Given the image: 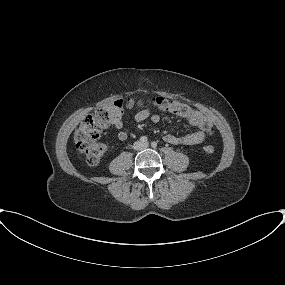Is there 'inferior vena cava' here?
<instances>
[{
	"label": "inferior vena cava",
	"instance_id": "obj_1",
	"mask_svg": "<svg viewBox=\"0 0 285 285\" xmlns=\"http://www.w3.org/2000/svg\"><path fill=\"white\" fill-rule=\"evenodd\" d=\"M147 146H148L147 143L138 141V142H136V143L134 144V149H135V150H143V149H145Z\"/></svg>",
	"mask_w": 285,
	"mask_h": 285
}]
</instances>
